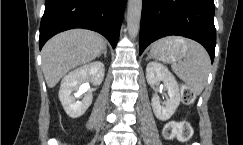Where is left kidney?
<instances>
[{
    "instance_id": "1",
    "label": "left kidney",
    "mask_w": 243,
    "mask_h": 145,
    "mask_svg": "<svg viewBox=\"0 0 243 145\" xmlns=\"http://www.w3.org/2000/svg\"><path fill=\"white\" fill-rule=\"evenodd\" d=\"M146 79L148 84L156 85L161 81L168 92L169 99L161 105L159 97L155 94L152 97L151 105L155 116L161 121H167L176 111L180 104L179 85L172 73L157 62H150L146 67Z\"/></svg>"
}]
</instances>
